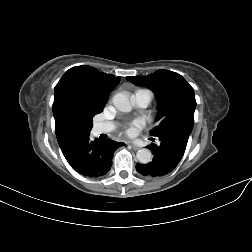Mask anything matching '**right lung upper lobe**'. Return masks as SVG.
Instances as JSON below:
<instances>
[{
  "label": "right lung upper lobe",
  "instance_id": "1",
  "mask_svg": "<svg viewBox=\"0 0 252 252\" xmlns=\"http://www.w3.org/2000/svg\"><path fill=\"white\" fill-rule=\"evenodd\" d=\"M120 77L99 72L91 66H75L64 73L54 90L53 116L60 148L83 135L77 112H102L109 93Z\"/></svg>",
  "mask_w": 252,
  "mask_h": 252
}]
</instances>
